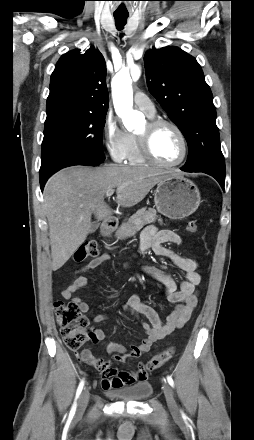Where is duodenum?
Segmentation results:
<instances>
[{
    "instance_id": "duodenum-1",
    "label": "duodenum",
    "mask_w": 254,
    "mask_h": 440,
    "mask_svg": "<svg viewBox=\"0 0 254 440\" xmlns=\"http://www.w3.org/2000/svg\"><path fill=\"white\" fill-rule=\"evenodd\" d=\"M118 221L114 216L108 217L101 229L102 235L106 236L109 235L117 226Z\"/></svg>"
}]
</instances>
